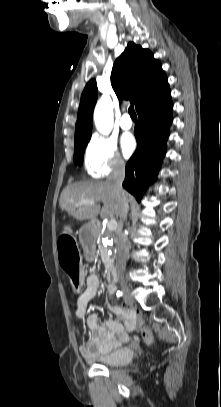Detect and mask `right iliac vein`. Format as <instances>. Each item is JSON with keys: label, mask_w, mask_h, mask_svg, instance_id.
Wrapping results in <instances>:
<instances>
[{"label": "right iliac vein", "mask_w": 221, "mask_h": 407, "mask_svg": "<svg viewBox=\"0 0 221 407\" xmlns=\"http://www.w3.org/2000/svg\"><path fill=\"white\" fill-rule=\"evenodd\" d=\"M121 289H122V293H123L125 302L128 305L132 306L134 304V300H133L129 287L125 282L121 283Z\"/></svg>", "instance_id": "obj_1"}]
</instances>
